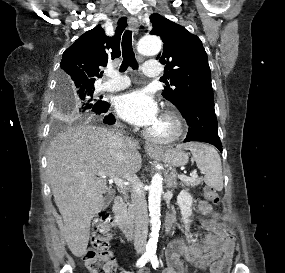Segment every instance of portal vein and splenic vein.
Instances as JSON below:
<instances>
[{
	"label": "portal vein and splenic vein",
	"instance_id": "1",
	"mask_svg": "<svg viewBox=\"0 0 285 273\" xmlns=\"http://www.w3.org/2000/svg\"><path fill=\"white\" fill-rule=\"evenodd\" d=\"M97 175L102 178H106L107 176H109V178L120 188H125L128 185L127 182H124L118 176H115L113 174H106L104 171H98ZM197 177L198 175L195 171L190 174V177L184 174L178 175V178L181 180H192V179H196Z\"/></svg>",
	"mask_w": 285,
	"mask_h": 273
}]
</instances>
